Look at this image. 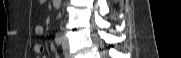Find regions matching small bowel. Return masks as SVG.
Wrapping results in <instances>:
<instances>
[{
    "instance_id": "1",
    "label": "small bowel",
    "mask_w": 181,
    "mask_h": 58,
    "mask_svg": "<svg viewBox=\"0 0 181 58\" xmlns=\"http://www.w3.org/2000/svg\"><path fill=\"white\" fill-rule=\"evenodd\" d=\"M35 33L37 35H42L44 33V28L41 25L35 27ZM33 51L38 55V58H43L44 48L42 45L37 44L33 47Z\"/></svg>"
}]
</instances>
